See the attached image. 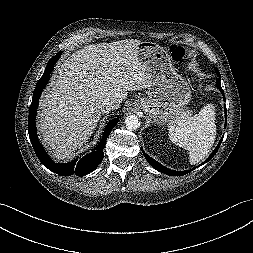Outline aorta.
I'll list each match as a JSON object with an SVG mask.
<instances>
[{
	"mask_svg": "<svg viewBox=\"0 0 253 253\" xmlns=\"http://www.w3.org/2000/svg\"><path fill=\"white\" fill-rule=\"evenodd\" d=\"M125 124L129 130H135L140 126V120L137 116L130 115L126 117Z\"/></svg>",
	"mask_w": 253,
	"mask_h": 253,
	"instance_id": "aorta-1",
	"label": "aorta"
}]
</instances>
